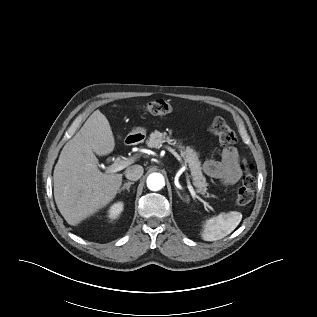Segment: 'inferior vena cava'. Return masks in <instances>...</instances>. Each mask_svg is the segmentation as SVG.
Listing matches in <instances>:
<instances>
[{
    "label": "inferior vena cava",
    "mask_w": 317,
    "mask_h": 317,
    "mask_svg": "<svg viewBox=\"0 0 317 317\" xmlns=\"http://www.w3.org/2000/svg\"><path fill=\"white\" fill-rule=\"evenodd\" d=\"M144 169L141 165H132L125 170V176L127 179L137 181L143 175Z\"/></svg>",
    "instance_id": "1"
}]
</instances>
